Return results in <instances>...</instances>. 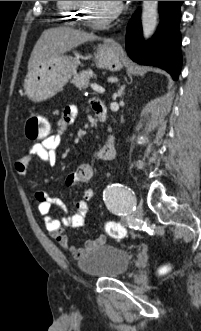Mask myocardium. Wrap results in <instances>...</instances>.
Listing matches in <instances>:
<instances>
[{"label":"myocardium","mask_w":201,"mask_h":331,"mask_svg":"<svg viewBox=\"0 0 201 331\" xmlns=\"http://www.w3.org/2000/svg\"><path fill=\"white\" fill-rule=\"evenodd\" d=\"M75 2L82 7V11H81L80 15L82 16L83 22L88 26L98 27V28L105 27L110 22H112L114 19H116L123 9V6L119 3L117 8L111 14H109L106 18H104L101 21L95 22V21L90 20L87 16V10H88L87 6L89 4V1H75Z\"/></svg>","instance_id":"f54148a6"}]
</instances>
